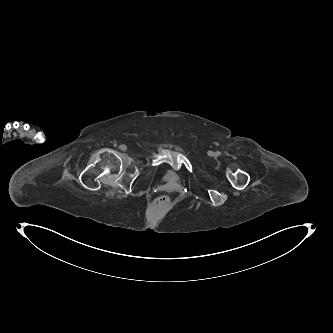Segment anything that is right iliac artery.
Listing matches in <instances>:
<instances>
[{"mask_svg":"<svg viewBox=\"0 0 333 333\" xmlns=\"http://www.w3.org/2000/svg\"><path fill=\"white\" fill-rule=\"evenodd\" d=\"M121 150L125 151L127 149L126 145H120L119 147Z\"/></svg>","mask_w":333,"mask_h":333,"instance_id":"obj_1","label":"right iliac artery"}]
</instances>
